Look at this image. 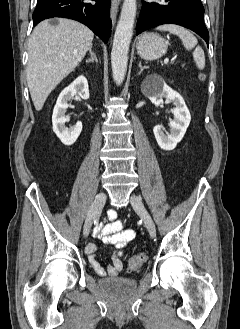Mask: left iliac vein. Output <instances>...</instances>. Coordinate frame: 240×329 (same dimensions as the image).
<instances>
[{
  "label": "left iliac vein",
  "mask_w": 240,
  "mask_h": 329,
  "mask_svg": "<svg viewBox=\"0 0 240 329\" xmlns=\"http://www.w3.org/2000/svg\"><path fill=\"white\" fill-rule=\"evenodd\" d=\"M131 205L133 209L140 215L142 218L145 227L147 228L151 237L156 236V227L155 224L149 215L148 211L146 210L142 200L140 197L136 195H132L130 198Z\"/></svg>",
  "instance_id": "1"
}]
</instances>
